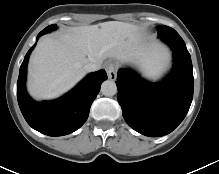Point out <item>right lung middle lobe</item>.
I'll return each instance as SVG.
<instances>
[{"instance_id":"right-lung-middle-lobe-1","label":"right lung middle lobe","mask_w":219,"mask_h":174,"mask_svg":"<svg viewBox=\"0 0 219 174\" xmlns=\"http://www.w3.org/2000/svg\"><path fill=\"white\" fill-rule=\"evenodd\" d=\"M55 29H56V24L49 25V26L46 27L44 30H42V31L40 32V34H45V33L51 32L52 30H55Z\"/></svg>"}]
</instances>
